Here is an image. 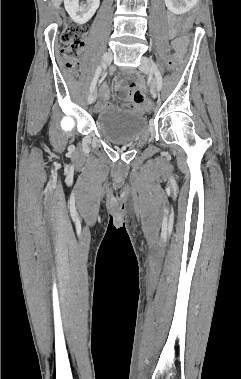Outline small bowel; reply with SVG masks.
Instances as JSON below:
<instances>
[{
  "mask_svg": "<svg viewBox=\"0 0 241 379\" xmlns=\"http://www.w3.org/2000/svg\"><path fill=\"white\" fill-rule=\"evenodd\" d=\"M169 24L171 27H174L177 20L174 15H168ZM128 86L131 88H128L126 84L123 81H120L116 84V90L120 94V96L126 101L127 108L134 109V110H145L142 99L145 98L144 94V87L142 84H139L136 87L135 81H129ZM108 98H109V90L106 85H103L101 87V100L98 102V104L95 107L96 111H99L107 106L108 104Z\"/></svg>",
  "mask_w": 241,
  "mask_h": 379,
  "instance_id": "small-bowel-1",
  "label": "small bowel"
}]
</instances>
